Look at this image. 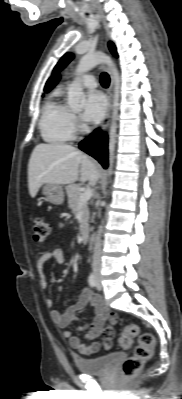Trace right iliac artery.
<instances>
[{
    "instance_id": "82829eb1",
    "label": "right iliac artery",
    "mask_w": 182,
    "mask_h": 399,
    "mask_svg": "<svg viewBox=\"0 0 182 399\" xmlns=\"http://www.w3.org/2000/svg\"><path fill=\"white\" fill-rule=\"evenodd\" d=\"M88 283L90 285V287L94 288L97 284V280H96V275L95 273H91L89 278H88Z\"/></svg>"
}]
</instances>
